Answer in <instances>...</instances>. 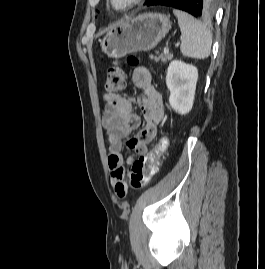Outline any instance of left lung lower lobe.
<instances>
[{"label":"left lung lower lobe","mask_w":265,"mask_h":269,"mask_svg":"<svg viewBox=\"0 0 265 269\" xmlns=\"http://www.w3.org/2000/svg\"><path fill=\"white\" fill-rule=\"evenodd\" d=\"M216 0H149L146 5H164L186 11L197 18L210 19L215 13Z\"/></svg>","instance_id":"1"}]
</instances>
